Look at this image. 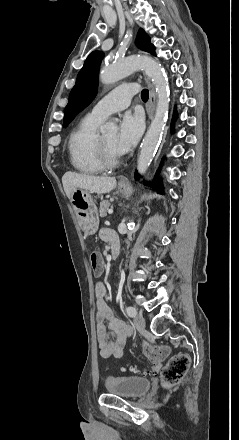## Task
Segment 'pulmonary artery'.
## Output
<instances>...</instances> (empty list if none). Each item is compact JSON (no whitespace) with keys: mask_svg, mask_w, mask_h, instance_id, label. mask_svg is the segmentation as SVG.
I'll return each instance as SVG.
<instances>
[{"mask_svg":"<svg viewBox=\"0 0 239 440\" xmlns=\"http://www.w3.org/2000/svg\"><path fill=\"white\" fill-rule=\"evenodd\" d=\"M140 90L136 83L121 85L99 99L92 107L88 116L102 121L110 113L122 110L130 105L131 98Z\"/></svg>","mask_w":239,"mask_h":440,"instance_id":"pulmonary-artery-1","label":"pulmonary artery"}]
</instances>
